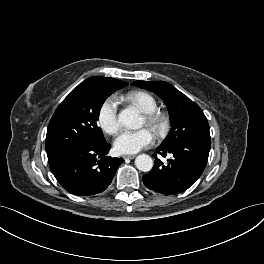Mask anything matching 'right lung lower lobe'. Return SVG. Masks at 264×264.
<instances>
[{
	"mask_svg": "<svg viewBox=\"0 0 264 264\" xmlns=\"http://www.w3.org/2000/svg\"><path fill=\"white\" fill-rule=\"evenodd\" d=\"M110 144H76L54 151L48 156L50 169L69 193L90 196L103 192L124 161L106 156Z\"/></svg>",
	"mask_w": 264,
	"mask_h": 264,
	"instance_id": "1",
	"label": "right lung lower lobe"
}]
</instances>
